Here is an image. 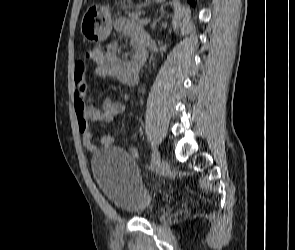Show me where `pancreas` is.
Here are the masks:
<instances>
[{"label":"pancreas","mask_w":295,"mask_h":250,"mask_svg":"<svg viewBox=\"0 0 295 250\" xmlns=\"http://www.w3.org/2000/svg\"><path fill=\"white\" fill-rule=\"evenodd\" d=\"M142 13L140 11H136V12H133V13H130L129 14V17L131 19V22L137 26V27H141L142 24H141V20L139 19V16L141 15Z\"/></svg>","instance_id":"1"}]
</instances>
